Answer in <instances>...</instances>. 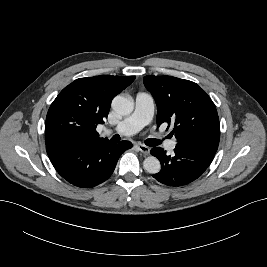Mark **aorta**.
I'll list each match as a JSON object with an SVG mask.
<instances>
[{
    "label": "aorta",
    "instance_id": "762f6f07",
    "mask_svg": "<svg viewBox=\"0 0 267 267\" xmlns=\"http://www.w3.org/2000/svg\"><path fill=\"white\" fill-rule=\"evenodd\" d=\"M113 110L123 116L129 115L134 109L132 99L118 95L112 101ZM144 169L150 174H156L161 169L160 161L154 156H148L143 162Z\"/></svg>",
    "mask_w": 267,
    "mask_h": 267
}]
</instances>
